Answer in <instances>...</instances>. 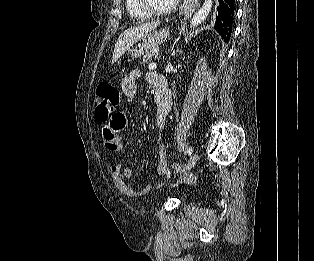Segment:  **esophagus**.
Returning a JSON list of instances; mask_svg holds the SVG:
<instances>
[{
  "label": "esophagus",
  "mask_w": 314,
  "mask_h": 261,
  "mask_svg": "<svg viewBox=\"0 0 314 261\" xmlns=\"http://www.w3.org/2000/svg\"><path fill=\"white\" fill-rule=\"evenodd\" d=\"M197 6L198 0H185L181 6V11L185 14V16H191Z\"/></svg>",
  "instance_id": "esophagus-1"
}]
</instances>
